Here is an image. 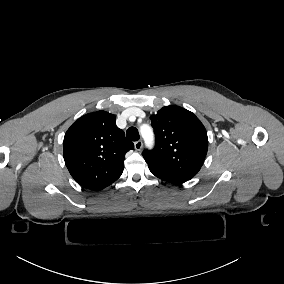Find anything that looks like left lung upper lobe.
<instances>
[{
    "label": "left lung upper lobe",
    "instance_id": "left-lung-upper-lobe-1",
    "mask_svg": "<svg viewBox=\"0 0 284 284\" xmlns=\"http://www.w3.org/2000/svg\"><path fill=\"white\" fill-rule=\"evenodd\" d=\"M150 119L156 145L142 153L150 171L184 180L193 178L208 150L207 132L201 121L178 106L163 107Z\"/></svg>",
    "mask_w": 284,
    "mask_h": 284
}]
</instances>
